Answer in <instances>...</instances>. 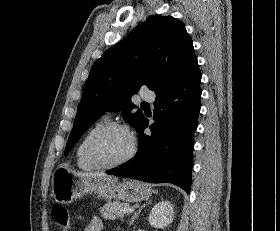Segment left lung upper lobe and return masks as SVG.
Segmentation results:
<instances>
[{"label":"left lung upper lobe","instance_id":"obj_1","mask_svg":"<svg viewBox=\"0 0 280 231\" xmlns=\"http://www.w3.org/2000/svg\"><path fill=\"white\" fill-rule=\"evenodd\" d=\"M197 67L193 44L183 23L171 16H150L92 66L65 156L107 110H122L125 121L135 128L143 113L131 112L136 107L131 96L141 86L161 91Z\"/></svg>","mask_w":280,"mask_h":231}]
</instances>
